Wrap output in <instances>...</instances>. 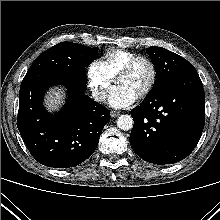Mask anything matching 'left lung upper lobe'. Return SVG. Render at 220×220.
Instances as JSON below:
<instances>
[{"label":"left lung upper lobe","mask_w":220,"mask_h":220,"mask_svg":"<svg viewBox=\"0 0 220 220\" xmlns=\"http://www.w3.org/2000/svg\"><path fill=\"white\" fill-rule=\"evenodd\" d=\"M156 70V82L150 93L159 91L181 74L196 71L194 66L183 57L161 47L146 50Z\"/></svg>","instance_id":"1"}]
</instances>
